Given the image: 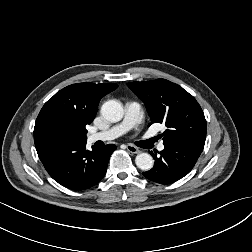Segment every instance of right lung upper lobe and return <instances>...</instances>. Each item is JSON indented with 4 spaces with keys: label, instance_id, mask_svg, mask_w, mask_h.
<instances>
[{
    "label": "right lung upper lobe",
    "instance_id": "1",
    "mask_svg": "<svg viewBox=\"0 0 252 252\" xmlns=\"http://www.w3.org/2000/svg\"><path fill=\"white\" fill-rule=\"evenodd\" d=\"M118 87L115 83H78L58 91L42 107L34 127L36 150L44 146L47 134L62 130L86 137L98 109L99 101Z\"/></svg>",
    "mask_w": 252,
    "mask_h": 252
}]
</instances>
